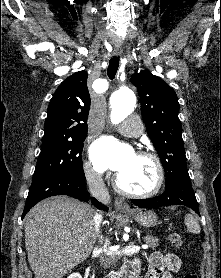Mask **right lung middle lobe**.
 I'll return each instance as SVG.
<instances>
[{
    "instance_id": "obj_1",
    "label": "right lung middle lobe",
    "mask_w": 221,
    "mask_h": 278,
    "mask_svg": "<svg viewBox=\"0 0 221 278\" xmlns=\"http://www.w3.org/2000/svg\"><path fill=\"white\" fill-rule=\"evenodd\" d=\"M85 135L42 142L31 186L59 175L84 176L81 153Z\"/></svg>"
}]
</instances>
